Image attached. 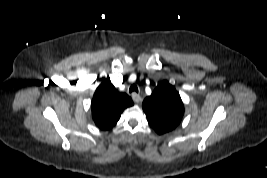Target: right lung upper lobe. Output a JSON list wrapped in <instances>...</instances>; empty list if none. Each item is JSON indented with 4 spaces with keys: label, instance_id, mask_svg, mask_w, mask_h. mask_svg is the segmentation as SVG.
<instances>
[{
    "label": "right lung upper lobe",
    "instance_id": "right-lung-upper-lobe-1",
    "mask_svg": "<svg viewBox=\"0 0 267 178\" xmlns=\"http://www.w3.org/2000/svg\"><path fill=\"white\" fill-rule=\"evenodd\" d=\"M132 105V99L118 92L107 78L94 93L91 103L93 120L100 129L108 130L117 123L123 110Z\"/></svg>",
    "mask_w": 267,
    "mask_h": 178
}]
</instances>
